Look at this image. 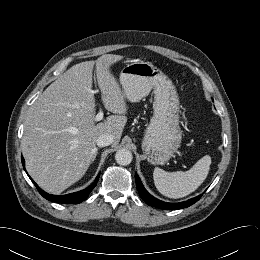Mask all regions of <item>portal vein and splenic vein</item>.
Returning a JSON list of instances; mask_svg holds the SVG:
<instances>
[{"label":"portal vein and splenic vein","mask_w":260,"mask_h":260,"mask_svg":"<svg viewBox=\"0 0 260 260\" xmlns=\"http://www.w3.org/2000/svg\"><path fill=\"white\" fill-rule=\"evenodd\" d=\"M103 112L102 111H99L98 114L95 116V121L98 122V121H101L103 119Z\"/></svg>","instance_id":"portal-vein-and-splenic-vein-1"}]
</instances>
